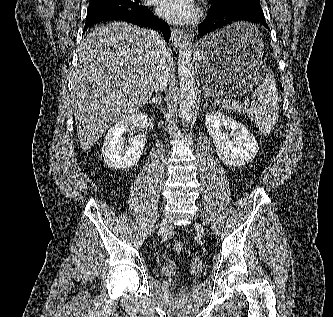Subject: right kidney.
I'll return each instance as SVG.
<instances>
[{
  "instance_id": "1",
  "label": "right kidney",
  "mask_w": 333,
  "mask_h": 317,
  "mask_svg": "<svg viewBox=\"0 0 333 317\" xmlns=\"http://www.w3.org/2000/svg\"><path fill=\"white\" fill-rule=\"evenodd\" d=\"M148 120V115L145 113L132 114L122 118L109 129L102 147L104 161L109 167L126 170L137 164L143 154L146 136L142 132L148 127ZM134 127L140 133L129 138V146L125 148L126 141L122 135Z\"/></svg>"
}]
</instances>
